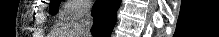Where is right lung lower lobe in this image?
Listing matches in <instances>:
<instances>
[{
    "label": "right lung lower lobe",
    "instance_id": "obj_1",
    "mask_svg": "<svg viewBox=\"0 0 219 37\" xmlns=\"http://www.w3.org/2000/svg\"><path fill=\"white\" fill-rule=\"evenodd\" d=\"M121 0H98L93 6V37H110Z\"/></svg>",
    "mask_w": 219,
    "mask_h": 37
}]
</instances>
